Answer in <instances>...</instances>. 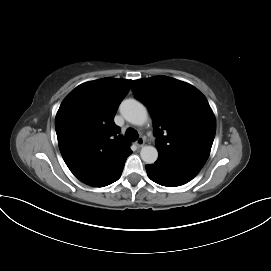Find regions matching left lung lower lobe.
<instances>
[{"label": "left lung lower lobe", "instance_id": "1", "mask_svg": "<svg viewBox=\"0 0 271 271\" xmlns=\"http://www.w3.org/2000/svg\"><path fill=\"white\" fill-rule=\"evenodd\" d=\"M201 168L194 163L161 154L154 164L146 165L149 178L155 183L167 187H176L189 182L199 173Z\"/></svg>", "mask_w": 271, "mask_h": 271}]
</instances>
